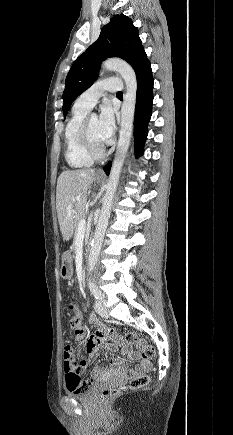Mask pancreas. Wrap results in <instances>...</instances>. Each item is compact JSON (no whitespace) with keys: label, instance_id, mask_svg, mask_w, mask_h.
I'll return each mask as SVG.
<instances>
[{"label":"pancreas","instance_id":"1","mask_svg":"<svg viewBox=\"0 0 233 435\" xmlns=\"http://www.w3.org/2000/svg\"><path fill=\"white\" fill-rule=\"evenodd\" d=\"M82 219H84V216H82V217L80 218V220H82ZM80 220H79V221H80ZM79 221L76 223V232H75V233H77V226H78Z\"/></svg>","mask_w":233,"mask_h":435}]
</instances>
